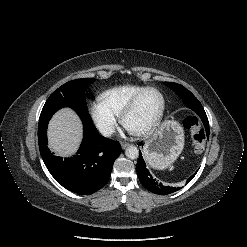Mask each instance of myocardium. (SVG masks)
<instances>
[{
  "label": "myocardium",
  "mask_w": 247,
  "mask_h": 247,
  "mask_svg": "<svg viewBox=\"0 0 247 247\" xmlns=\"http://www.w3.org/2000/svg\"><path fill=\"white\" fill-rule=\"evenodd\" d=\"M148 91H155L160 95V97H161L160 112H159L158 116L155 118V120L151 124H149L147 127H145L142 130H139V131H132V130L128 129V127H127V124H126L127 117L134 110V108L136 107L140 98ZM165 109H166V99H165L164 94L156 87H145L144 89L139 91L126 105V107L124 108V110L121 113V123L134 136L145 137V136H148L149 134H151L160 125V123L163 120L164 114H165Z\"/></svg>",
  "instance_id": "f54148a6"
}]
</instances>
